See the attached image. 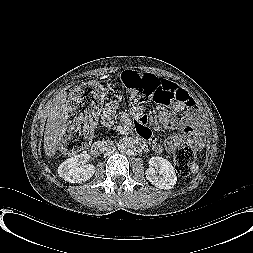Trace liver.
I'll list each match as a JSON object with an SVG mask.
<instances>
[{
    "label": "liver",
    "mask_w": 253,
    "mask_h": 253,
    "mask_svg": "<svg viewBox=\"0 0 253 253\" xmlns=\"http://www.w3.org/2000/svg\"><path fill=\"white\" fill-rule=\"evenodd\" d=\"M66 98V93L62 92L54 98L50 106V114L44 132V151L48 157L55 155L61 141V136L64 131Z\"/></svg>",
    "instance_id": "1"
}]
</instances>
